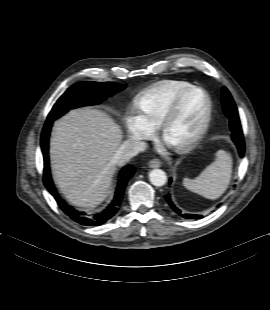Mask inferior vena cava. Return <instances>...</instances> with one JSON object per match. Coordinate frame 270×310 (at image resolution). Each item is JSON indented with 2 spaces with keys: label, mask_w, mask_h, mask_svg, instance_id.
Here are the masks:
<instances>
[{
  "label": "inferior vena cava",
  "mask_w": 270,
  "mask_h": 310,
  "mask_svg": "<svg viewBox=\"0 0 270 310\" xmlns=\"http://www.w3.org/2000/svg\"><path fill=\"white\" fill-rule=\"evenodd\" d=\"M146 149V143L141 141H124L114 156L112 162L119 166L127 163L131 158Z\"/></svg>",
  "instance_id": "inferior-vena-cava-1"
}]
</instances>
